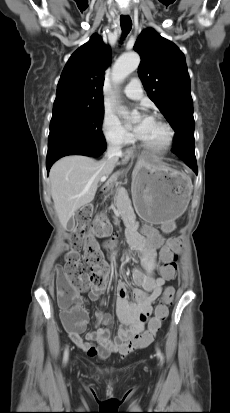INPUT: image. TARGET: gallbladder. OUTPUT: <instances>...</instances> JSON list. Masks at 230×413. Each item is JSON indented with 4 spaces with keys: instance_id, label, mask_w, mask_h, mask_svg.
<instances>
[{
    "instance_id": "obj_1",
    "label": "gallbladder",
    "mask_w": 230,
    "mask_h": 413,
    "mask_svg": "<svg viewBox=\"0 0 230 413\" xmlns=\"http://www.w3.org/2000/svg\"><path fill=\"white\" fill-rule=\"evenodd\" d=\"M74 227H75V223H74L72 220H70V221L67 223V228H68L69 230H73Z\"/></svg>"
}]
</instances>
